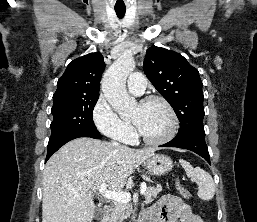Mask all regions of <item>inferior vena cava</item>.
Instances as JSON below:
<instances>
[{
  "instance_id": "602c4592",
  "label": "inferior vena cava",
  "mask_w": 257,
  "mask_h": 222,
  "mask_svg": "<svg viewBox=\"0 0 257 222\" xmlns=\"http://www.w3.org/2000/svg\"><path fill=\"white\" fill-rule=\"evenodd\" d=\"M112 144H113L114 147H118L119 146V144L117 142H115V141H112Z\"/></svg>"
}]
</instances>
